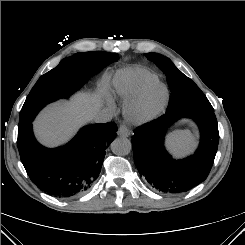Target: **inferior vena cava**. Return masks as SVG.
Here are the masks:
<instances>
[{"mask_svg":"<svg viewBox=\"0 0 245 245\" xmlns=\"http://www.w3.org/2000/svg\"><path fill=\"white\" fill-rule=\"evenodd\" d=\"M112 119V115L106 111H100L95 117L94 121L97 123H106Z\"/></svg>","mask_w":245,"mask_h":245,"instance_id":"inferior-vena-cava-1","label":"inferior vena cava"}]
</instances>
